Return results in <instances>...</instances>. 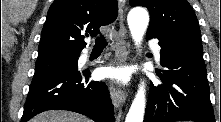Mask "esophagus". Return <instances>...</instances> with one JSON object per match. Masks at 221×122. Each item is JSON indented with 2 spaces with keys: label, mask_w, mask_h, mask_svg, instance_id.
Masks as SVG:
<instances>
[{
  "label": "esophagus",
  "mask_w": 221,
  "mask_h": 122,
  "mask_svg": "<svg viewBox=\"0 0 221 122\" xmlns=\"http://www.w3.org/2000/svg\"><path fill=\"white\" fill-rule=\"evenodd\" d=\"M124 7L119 8V30L117 35L116 63L124 64L130 60V42L124 24ZM110 95L116 108H119L126 100L125 90L115 83H110Z\"/></svg>",
  "instance_id": "34e87169"
}]
</instances>
